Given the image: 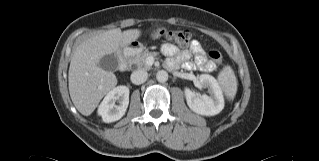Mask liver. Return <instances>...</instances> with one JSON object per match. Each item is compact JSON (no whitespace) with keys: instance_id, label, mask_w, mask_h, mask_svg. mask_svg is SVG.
<instances>
[{"instance_id":"6515ba94","label":"liver","mask_w":319,"mask_h":161,"mask_svg":"<svg viewBox=\"0 0 319 161\" xmlns=\"http://www.w3.org/2000/svg\"><path fill=\"white\" fill-rule=\"evenodd\" d=\"M140 35L139 29L122 32L116 28L91 36L76 47L69 67V93L82 115H90L104 95L117 84L114 73L98 66L100 59L131 44Z\"/></svg>"}]
</instances>
